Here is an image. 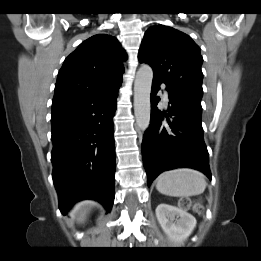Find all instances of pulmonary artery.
<instances>
[{
	"label": "pulmonary artery",
	"mask_w": 261,
	"mask_h": 261,
	"mask_svg": "<svg viewBox=\"0 0 261 261\" xmlns=\"http://www.w3.org/2000/svg\"><path fill=\"white\" fill-rule=\"evenodd\" d=\"M162 92H163V99L165 101H168V93H167V91L163 88Z\"/></svg>",
	"instance_id": "pulmonary-artery-1"
}]
</instances>
